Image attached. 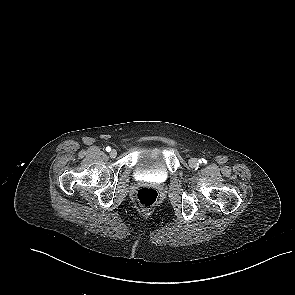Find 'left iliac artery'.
I'll use <instances>...</instances> for the list:
<instances>
[{
  "label": "left iliac artery",
  "mask_w": 295,
  "mask_h": 295,
  "mask_svg": "<svg viewBox=\"0 0 295 295\" xmlns=\"http://www.w3.org/2000/svg\"><path fill=\"white\" fill-rule=\"evenodd\" d=\"M199 163H206V160L205 159H200Z\"/></svg>",
  "instance_id": "left-iliac-artery-1"
}]
</instances>
